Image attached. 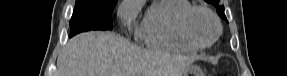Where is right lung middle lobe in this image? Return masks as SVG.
<instances>
[{"label": "right lung middle lobe", "instance_id": "1", "mask_svg": "<svg viewBox=\"0 0 287 76\" xmlns=\"http://www.w3.org/2000/svg\"><path fill=\"white\" fill-rule=\"evenodd\" d=\"M118 0H77L70 21V37L85 31L112 29L111 13Z\"/></svg>", "mask_w": 287, "mask_h": 76}]
</instances>
